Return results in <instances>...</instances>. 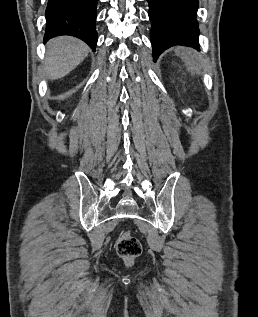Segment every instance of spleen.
I'll return each mask as SVG.
<instances>
[{"label":"spleen","mask_w":258,"mask_h":317,"mask_svg":"<svg viewBox=\"0 0 258 317\" xmlns=\"http://www.w3.org/2000/svg\"><path fill=\"white\" fill-rule=\"evenodd\" d=\"M175 52L176 54H178V56L184 58V62H186L189 72H193V62L195 58L193 50H191V48H183V46H177V48H175Z\"/></svg>","instance_id":"spleen-1"}]
</instances>
